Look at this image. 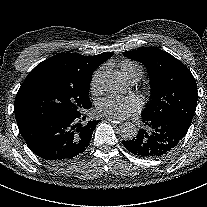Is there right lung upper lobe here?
<instances>
[{
    "label": "right lung upper lobe",
    "instance_id": "obj_1",
    "mask_svg": "<svg viewBox=\"0 0 207 207\" xmlns=\"http://www.w3.org/2000/svg\"><path fill=\"white\" fill-rule=\"evenodd\" d=\"M113 54L109 52L83 56L76 53H59L38 64L25 80L42 76L68 81L78 86H90L94 70Z\"/></svg>",
    "mask_w": 207,
    "mask_h": 207
}]
</instances>
